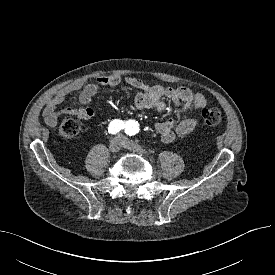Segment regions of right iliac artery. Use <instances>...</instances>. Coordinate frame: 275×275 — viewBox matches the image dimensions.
Listing matches in <instances>:
<instances>
[{"label": "right iliac artery", "mask_w": 275, "mask_h": 275, "mask_svg": "<svg viewBox=\"0 0 275 275\" xmlns=\"http://www.w3.org/2000/svg\"><path fill=\"white\" fill-rule=\"evenodd\" d=\"M124 127H125V123L122 120L115 119L110 122L108 126V131L111 134H116Z\"/></svg>", "instance_id": "obj_1"}]
</instances>
